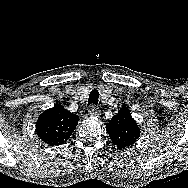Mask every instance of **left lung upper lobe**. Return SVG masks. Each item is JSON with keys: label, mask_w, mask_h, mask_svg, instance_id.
Returning a JSON list of instances; mask_svg holds the SVG:
<instances>
[{"label": "left lung upper lobe", "mask_w": 188, "mask_h": 188, "mask_svg": "<svg viewBox=\"0 0 188 188\" xmlns=\"http://www.w3.org/2000/svg\"><path fill=\"white\" fill-rule=\"evenodd\" d=\"M106 129L112 143L120 150L132 145L140 136V128L127 107L121 108L112 117Z\"/></svg>", "instance_id": "5c2ea615"}]
</instances>
